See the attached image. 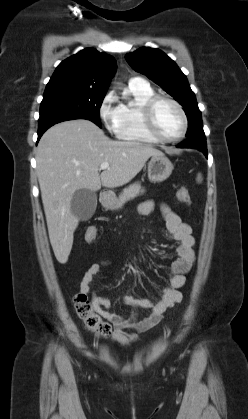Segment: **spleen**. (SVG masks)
<instances>
[{"mask_svg": "<svg viewBox=\"0 0 248 419\" xmlns=\"http://www.w3.org/2000/svg\"><path fill=\"white\" fill-rule=\"evenodd\" d=\"M202 179H201V175L200 174H198V177H197V181L198 182H200Z\"/></svg>", "mask_w": 248, "mask_h": 419, "instance_id": "1", "label": "spleen"}]
</instances>
